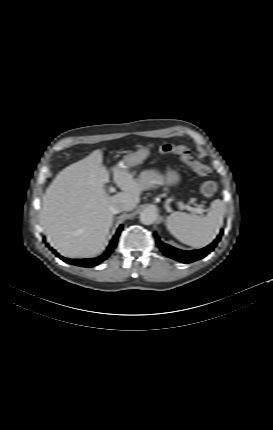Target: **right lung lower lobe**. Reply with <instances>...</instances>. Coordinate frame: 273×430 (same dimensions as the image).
<instances>
[{
  "label": "right lung lower lobe",
  "mask_w": 273,
  "mask_h": 430,
  "mask_svg": "<svg viewBox=\"0 0 273 430\" xmlns=\"http://www.w3.org/2000/svg\"><path fill=\"white\" fill-rule=\"evenodd\" d=\"M123 229V226L121 225L116 234L114 235L113 239L111 240L109 246L107 247L105 253L98 257V258H92V259H78V260H74V259H68V258H64L62 256H60L59 254H57L55 251H53L57 257H59L61 260H63L66 263L69 264H75L77 266H81V267H93L98 265L99 263H101L102 261H104L113 251V249L115 248L117 241H118V237L121 233V230Z\"/></svg>",
  "instance_id": "1"
}]
</instances>
